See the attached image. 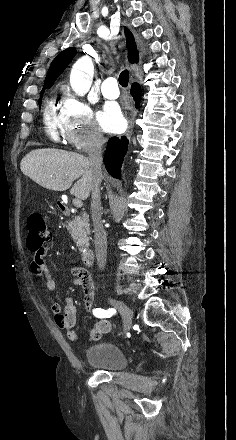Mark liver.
Returning a JSON list of instances; mask_svg holds the SVG:
<instances>
[{"label": "liver", "mask_w": 236, "mask_h": 440, "mask_svg": "<svg viewBox=\"0 0 236 440\" xmlns=\"http://www.w3.org/2000/svg\"><path fill=\"white\" fill-rule=\"evenodd\" d=\"M21 171L38 185L53 191H65L73 182L71 194L86 200L93 187V174L87 157L58 149H35L20 163Z\"/></svg>", "instance_id": "liver-1"}]
</instances>
